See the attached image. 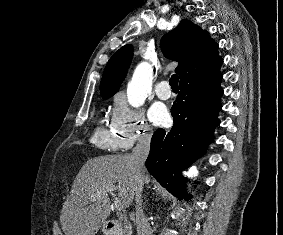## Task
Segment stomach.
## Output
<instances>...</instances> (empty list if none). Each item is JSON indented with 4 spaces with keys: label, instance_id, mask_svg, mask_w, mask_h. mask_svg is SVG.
<instances>
[{
    "label": "stomach",
    "instance_id": "0dacf381",
    "mask_svg": "<svg viewBox=\"0 0 283 235\" xmlns=\"http://www.w3.org/2000/svg\"><path fill=\"white\" fill-rule=\"evenodd\" d=\"M102 232L104 235H112V230H110L105 223L102 225Z\"/></svg>",
    "mask_w": 283,
    "mask_h": 235
}]
</instances>
